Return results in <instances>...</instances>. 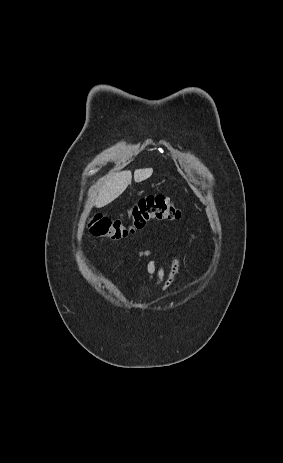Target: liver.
<instances>
[{
	"mask_svg": "<svg viewBox=\"0 0 283 463\" xmlns=\"http://www.w3.org/2000/svg\"><path fill=\"white\" fill-rule=\"evenodd\" d=\"M153 173L152 168L137 169L134 172V181L141 182L148 179ZM132 175L129 171H121L108 178L106 184L100 188L95 199L97 208L104 207L118 198L131 183Z\"/></svg>",
	"mask_w": 283,
	"mask_h": 463,
	"instance_id": "1",
	"label": "liver"
}]
</instances>
